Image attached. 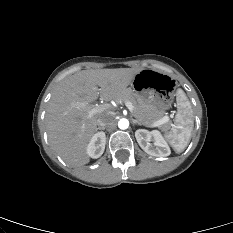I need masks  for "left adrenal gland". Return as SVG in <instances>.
I'll use <instances>...</instances> for the list:
<instances>
[{"label": "left adrenal gland", "mask_w": 233, "mask_h": 233, "mask_svg": "<svg viewBox=\"0 0 233 233\" xmlns=\"http://www.w3.org/2000/svg\"><path fill=\"white\" fill-rule=\"evenodd\" d=\"M132 122H133L134 124H138V125H140V126L142 125L141 122H139L138 120H135V119H133Z\"/></svg>", "instance_id": "left-adrenal-gland-1"}]
</instances>
